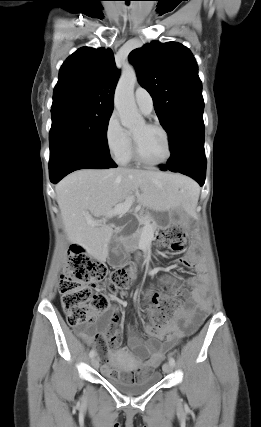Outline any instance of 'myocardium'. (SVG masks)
I'll return each instance as SVG.
<instances>
[{
	"mask_svg": "<svg viewBox=\"0 0 261 427\" xmlns=\"http://www.w3.org/2000/svg\"><path fill=\"white\" fill-rule=\"evenodd\" d=\"M145 125L149 128L158 129L163 133L165 140H166V144H167V150H168L167 155L162 161H159V162H149V161L145 160L139 151L137 140H136L135 136L132 134V154H133L134 159L139 164L146 166V167H158V166L166 164L170 160V158L172 157V154H173L172 143H171V139H170V135H169L168 131L166 130V128L164 126H162L159 123L147 122V123H145Z\"/></svg>",
	"mask_w": 261,
	"mask_h": 427,
	"instance_id": "1",
	"label": "myocardium"
}]
</instances>
